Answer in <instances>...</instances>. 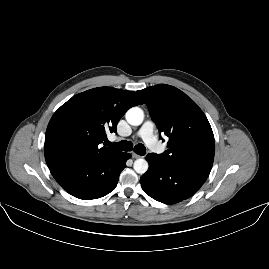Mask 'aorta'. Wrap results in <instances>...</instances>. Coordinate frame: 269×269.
<instances>
[{"label": "aorta", "instance_id": "762f6f07", "mask_svg": "<svg viewBox=\"0 0 269 269\" xmlns=\"http://www.w3.org/2000/svg\"><path fill=\"white\" fill-rule=\"evenodd\" d=\"M126 120L130 125L138 126L143 122L144 112L139 107H132L126 112ZM148 162L145 159H136L133 165L134 170L144 174L148 170Z\"/></svg>", "mask_w": 269, "mask_h": 269}]
</instances>
